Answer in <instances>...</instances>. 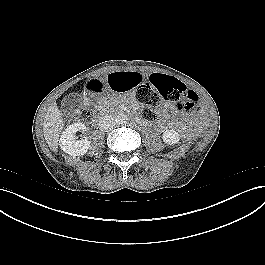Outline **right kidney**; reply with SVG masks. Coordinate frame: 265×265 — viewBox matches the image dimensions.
<instances>
[{"mask_svg":"<svg viewBox=\"0 0 265 265\" xmlns=\"http://www.w3.org/2000/svg\"><path fill=\"white\" fill-rule=\"evenodd\" d=\"M85 128V124L79 122L69 125L62 132L59 143L65 153L73 156H81L87 153L90 142L87 139L76 140L75 137L77 131L84 130Z\"/></svg>","mask_w":265,"mask_h":265,"instance_id":"1","label":"right kidney"}]
</instances>
